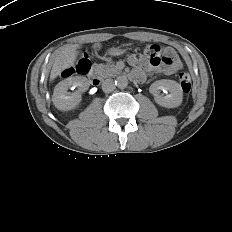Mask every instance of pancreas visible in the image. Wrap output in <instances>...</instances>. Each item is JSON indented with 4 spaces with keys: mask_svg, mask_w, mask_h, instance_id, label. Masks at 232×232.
Instances as JSON below:
<instances>
[{
    "mask_svg": "<svg viewBox=\"0 0 232 232\" xmlns=\"http://www.w3.org/2000/svg\"><path fill=\"white\" fill-rule=\"evenodd\" d=\"M96 71L99 76L106 78V77H114L117 74H120V71L116 68L114 64H97Z\"/></svg>",
    "mask_w": 232,
    "mask_h": 232,
    "instance_id": "obj_1",
    "label": "pancreas"
}]
</instances>
